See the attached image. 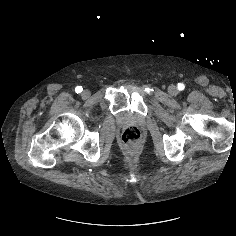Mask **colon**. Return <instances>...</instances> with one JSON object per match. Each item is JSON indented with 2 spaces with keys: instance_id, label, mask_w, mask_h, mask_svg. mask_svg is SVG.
Listing matches in <instances>:
<instances>
[{
  "instance_id": "1",
  "label": "colon",
  "mask_w": 236,
  "mask_h": 236,
  "mask_svg": "<svg viewBox=\"0 0 236 236\" xmlns=\"http://www.w3.org/2000/svg\"><path fill=\"white\" fill-rule=\"evenodd\" d=\"M123 143L126 146H136L142 140L141 130L136 126L127 127L122 134Z\"/></svg>"
}]
</instances>
